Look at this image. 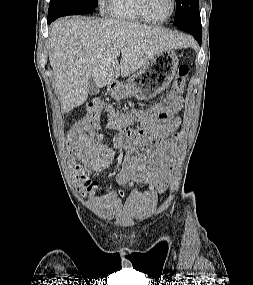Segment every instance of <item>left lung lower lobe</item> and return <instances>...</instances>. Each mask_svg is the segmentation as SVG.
Wrapping results in <instances>:
<instances>
[{"instance_id":"obj_1","label":"left lung lower lobe","mask_w":253,"mask_h":285,"mask_svg":"<svg viewBox=\"0 0 253 285\" xmlns=\"http://www.w3.org/2000/svg\"><path fill=\"white\" fill-rule=\"evenodd\" d=\"M178 28L192 34L193 37L201 45L202 29H201V19L200 18L194 19L190 21L189 23L182 25Z\"/></svg>"}]
</instances>
